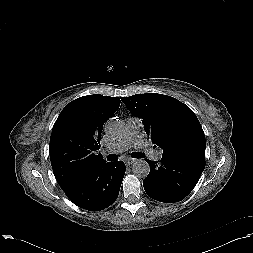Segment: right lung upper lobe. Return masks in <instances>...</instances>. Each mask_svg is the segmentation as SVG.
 Wrapping results in <instances>:
<instances>
[{"mask_svg": "<svg viewBox=\"0 0 253 253\" xmlns=\"http://www.w3.org/2000/svg\"><path fill=\"white\" fill-rule=\"evenodd\" d=\"M118 97L99 94L71 101L58 116L50 138V160L61 188L106 161L97 153L102 128L119 108Z\"/></svg>", "mask_w": 253, "mask_h": 253, "instance_id": "right-lung-upper-lobe-1", "label": "right lung upper lobe"}]
</instances>
